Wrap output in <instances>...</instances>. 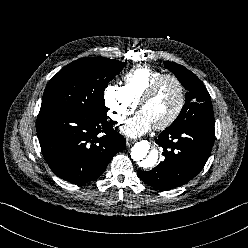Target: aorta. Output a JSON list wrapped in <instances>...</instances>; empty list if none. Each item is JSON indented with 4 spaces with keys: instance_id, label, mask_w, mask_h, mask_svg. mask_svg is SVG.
Listing matches in <instances>:
<instances>
[{
    "instance_id": "1",
    "label": "aorta",
    "mask_w": 248,
    "mask_h": 248,
    "mask_svg": "<svg viewBox=\"0 0 248 248\" xmlns=\"http://www.w3.org/2000/svg\"><path fill=\"white\" fill-rule=\"evenodd\" d=\"M131 158L138 163L140 167L151 168L156 165L159 153L152 149L148 141L142 140L134 144L131 148Z\"/></svg>"
}]
</instances>
